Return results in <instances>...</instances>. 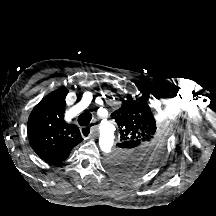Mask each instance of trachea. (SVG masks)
Wrapping results in <instances>:
<instances>
[{
  "label": "trachea",
  "mask_w": 216,
  "mask_h": 216,
  "mask_svg": "<svg viewBox=\"0 0 216 216\" xmlns=\"http://www.w3.org/2000/svg\"><path fill=\"white\" fill-rule=\"evenodd\" d=\"M91 120H92V114L89 112H84L78 117V123L81 126H87Z\"/></svg>",
  "instance_id": "trachea-1"
}]
</instances>
